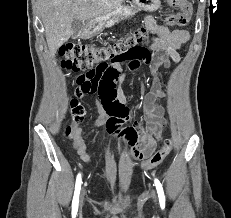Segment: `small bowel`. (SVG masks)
<instances>
[{"label":"small bowel","instance_id":"obj_1","mask_svg":"<svg viewBox=\"0 0 231 218\" xmlns=\"http://www.w3.org/2000/svg\"><path fill=\"white\" fill-rule=\"evenodd\" d=\"M145 24L151 35L143 41V47H150L158 51L153 57L152 63L150 58H143V56H125V58L116 56V60L95 66L94 69H82L83 75L78 77L76 88V94L79 97L90 92H99L103 107L110 115L107 122L108 132L122 138L131 148L132 154L140 159L148 157L153 152L154 141L144 133L137 123L121 128V124L128 117L126 97L121 89L126 69H121V66L126 61L129 70L135 71L141 65H150L151 87L144 97L143 113L147 130L159 134L166 126V121L163 117V108L156 104V100L159 97H164V93L155 74L159 68H167L171 62L178 63L180 61L178 50L189 39L188 31L169 30L166 26L157 24L152 16L145 18ZM116 83L119 85L117 89ZM72 142L80 159L89 162L88 143L83 136L82 127L74 128Z\"/></svg>","mask_w":231,"mask_h":218}]
</instances>
